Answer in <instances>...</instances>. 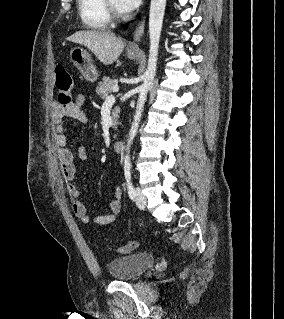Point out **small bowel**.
I'll use <instances>...</instances> for the list:
<instances>
[{"label":"small bowel","instance_id":"1","mask_svg":"<svg viewBox=\"0 0 284 319\" xmlns=\"http://www.w3.org/2000/svg\"><path fill=\"white\" fill-rule=\"evenodd\" d=\"M84 99L78 96L76 101L67 107H61L58 104L52 106L51 117L53 122L54 142L57 147V158L61 172L66 181L68 193L72 200V210L75 216L84 224L94 223L96 225H108L115 221L121 210L122 190L119 187L114 188L112 198L109 203V211L105 214L91 217L85 203L80 199V190L75 181V164L72 152L67 148V133L63 126V120L70 118L80 123L87 121L86 113L83 109ZM77 158L81 162L88 159V153L85 148H79Z\"/></svg>","mask_w":284,"mask_h":319}]
</instances>
